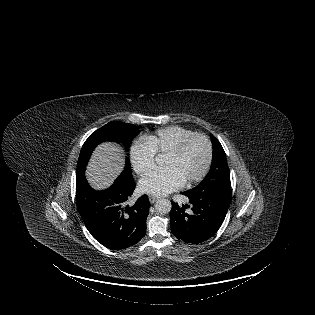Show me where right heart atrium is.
<instances>
[{"mask_svg":"<svg viewBox=\"0 0 315 315\" xmlns=\"http://www.w3.org/2000/svg\"><path fill=\"white\" fill-rule=\"evenodd\" d=\"M130 161L134 171L140 176L152 169L155 163V151L146 139L137 140L132 144Z\"/></svg>","mask_w":315,"mask_h":315,"instance_id":"obj_1","label":"right heart atrium"}]
</instances>
